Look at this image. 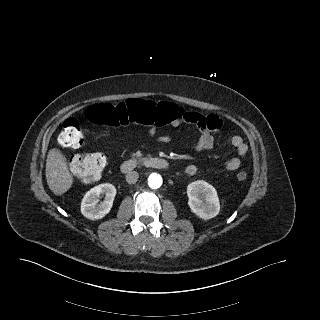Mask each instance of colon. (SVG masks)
Returning a JSON list of instances; mask_svg holds the SVG:
<instances>
[{
	"instance_id": "1",
	"label": "colon",
	"mask_w": 320,
	"mask_h": 320,
	"mask_svg": "<svg viewBox=\"0 0 320 320\" xmlns=\"http://www.w3.org/2000/svg\"><path fill=\"white\" fill-rule=\"evenodd\" d=\"M88 121L96 124L118 127L131 122L161 126L171 123L180 116V110L167 102L154 103L143 99H129L119 104L98 103L86 109ZM81 125L74 118L67 119L59 135V143L65 148H78L83 144ZM108 163L106 153L76 154L70 160V168L77 178L84 182L97 180ZM247 173L240 171L237 179L244 181Z\"/></svg>"
}]
</instances>
